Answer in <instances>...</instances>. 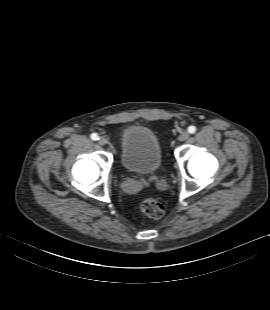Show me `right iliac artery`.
Segmentation results:
<instances>
[{"mask_svg": "<svg viewBox=\"0 0 270 310\" xmlns=\"http://www.w3.org/2000/svg\"><path fill=\"white\" fill-rule=\"evenodd\" d=\"M91 139L94 141L98 140V135L96 133L91 134Z\"/></svg>", "mask_w": 270, "mask_h": 310, "instance_id": "82829eb1", "label": "right iliac artery"}]
</instances>
